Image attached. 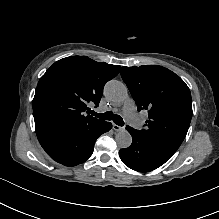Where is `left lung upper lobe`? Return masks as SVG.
Listing matches in <instances>:
<instances>
[{
    "mask_svg": "<svg viewBox=\"0 0 219 219\" xmlns=\"http://www.w3.org/2000/svg\"><path fill=\"white\" fill-rule=\"evenodd\" d=\"M121 77L138 111L145 109L149 115L145 129H132L173 155L186 137L192 118L188 86L178 75L157 65L122 67Z\"/></svg>",
    "mask_w": 219,
    "mask_h": 219,
    "instance_id": "left-lung-upper-lobe-1",
    "label": "left lung upper lobe"
}]
</instances>
